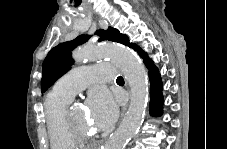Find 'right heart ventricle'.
Wrapping results in <instances>:
<instances>
[{
	"label": "right heart ventricle",
	"instance_id": "obj_1",
	"mask_svg": "<svg viewBox=\"0 0 227 149\" xmlns=\"http://www.w3.org/2000/svg\"><path fill=\"white\" fill-rule=\"evenodd\" d=\"M69 97L53 89L44 101V114L52 149H72L78 145L66 129L64 114L72 101Z\"/></svg>",
	"mask_w": 227,
	"mask_h": 149
}]
</instances>
